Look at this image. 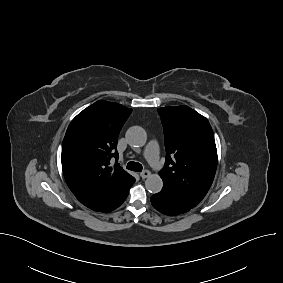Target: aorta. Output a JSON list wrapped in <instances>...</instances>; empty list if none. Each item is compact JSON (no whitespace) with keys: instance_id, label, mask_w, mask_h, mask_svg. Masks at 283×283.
<instances>
[{"instance_id":"762f6f07","label":"aorta","mask_w":283,"mask_h":283,"mask_svg":"<svg viewBox=\"0 0 283 283\" xmlns=\"http://www.w3.org/2000/svg\"><path fill=\"white\" fill-rule=\"evenodd\" d=\"M126 139L130 146L142 147L146 144L147 134L146 131L140 126H132L126 132ZM146 189L155 194L161 191L163 181L158 174H151L145 181Z\"/></svg>"}]
</instances>
